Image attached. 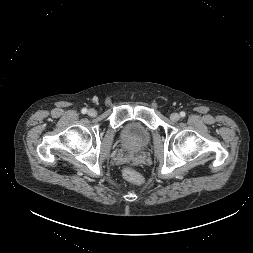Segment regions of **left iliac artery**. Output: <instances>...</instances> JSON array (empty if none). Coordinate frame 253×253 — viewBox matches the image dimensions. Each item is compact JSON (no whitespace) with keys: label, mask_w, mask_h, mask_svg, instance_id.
<instances>
[{"label":"left iliac artery","mask_w":253,"mask_h":253,"mask_svg":"<svg viewBox=\"0 0 253 253\" xmlns=\"http://www.w3.org/2000/svg\"><path fill=\"white\" fill-rule=\"evenodd\" d=\"M185 115H186V113H185L184 111H181V112H180V116H181V117H185Z\"/></svg>","instance_id":"1"}]
</instances>
